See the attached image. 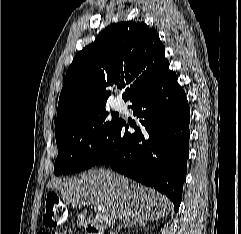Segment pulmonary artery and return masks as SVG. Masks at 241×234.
I'll use <instances>...</instances> for the list:
<instances>
[{"mask_svg":"<svg viewBox=\"0 0 241 234\" xmlns=\"http://www.w3.org/2000/svg\"><path fill=\"white\" fill-rule=\"evenodd\" d=\"M113 106L116 110H122L124 108V102L121 98H115Z\"/></svg>","mask_w":241,"mask_h":234,"instance_id":"1","label":"pulmonary artery"}]
</instances>
